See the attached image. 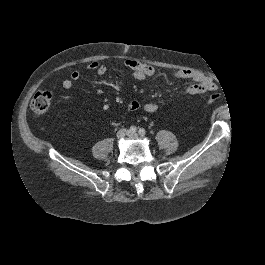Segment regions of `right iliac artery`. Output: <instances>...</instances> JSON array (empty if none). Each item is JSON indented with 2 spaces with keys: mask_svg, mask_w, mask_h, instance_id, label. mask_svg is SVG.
Here are the masks:
<instances>
[{
  "mask_svg": "<svg viewBox=\"0 0 265 265\" xmlns=\"http://www.w3.org/2000/svg\"><path fill=\"white\" fill-rule=\"evenodd\" d=\"M137 131V128L135 127V126H131L130 128H129V132L130 133H135Z\"/></svg>",
  "mask_w": 265,
  "mask_h": 265,
  "instance_id": "right-iliac-artery-1",
  "label": "right iliac artery"
}]
</instances>
